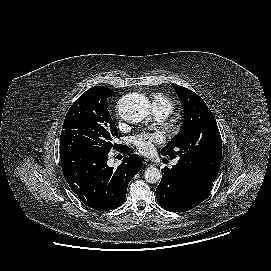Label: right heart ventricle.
Segmentation results:
<instances>
[{
	"mask_svg": "<svg viewBox=\"0 0 271 271\" xmlns=\"http://www.w3.org/2000/svg\"><path fill=\"white\" fill-rule=\"evenodd\" d=\"M155 106L166 109L169 111V113L173 109V103L167 97L162 95H157L155 97Z\"/></svg>",
	"mask_w": 271,
	"mask_h": 271,
	"instance_id": "1",
	"label": "right heart ventricle"
}]
</instances>
